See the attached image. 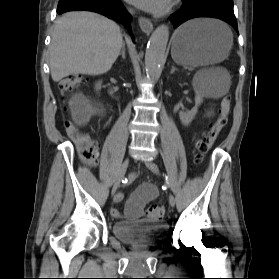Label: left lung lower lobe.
<instances>
[{"instance_id":"left-lung-lower-lobe-1","label":"left lung lower lobe","mask_w":279,"mask_h":279,"mask_svg":"<svg viewBox=\"0 0 279 279\" xmlns=\"http://www.w3.org/2000/svg\"><path fill=\"white\" fill-rule=\"evenodd\" d=\"M182 1V7L170 17L174 28L192 18L211 17L227 22L238 33L237 21L233 11V0Z\"/></svg>"}]
</instances>
